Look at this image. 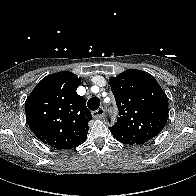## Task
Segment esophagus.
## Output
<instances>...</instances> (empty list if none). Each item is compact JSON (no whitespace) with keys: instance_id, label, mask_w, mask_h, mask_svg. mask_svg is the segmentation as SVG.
<instances>
[{"instance_id":"34e87169","label":"esophagus","mask_w":196,"mask_h":196,"mask_svg":"<svg viewBox=\"0 0 196 196\" xmlns=\"http://www.w3.org/2000/svg\"><path fill=\"white\" fill-rule=\"evenodd\" d=\"M92 115L94 118L96 119H101L105 116V110L103 107H100L99 109H97L96 111L92 112Z\"/></svg>"}]
</instances>
